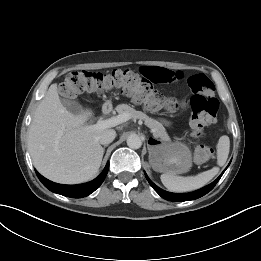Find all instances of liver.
Segmentation results:
<instances>
[{"mask_svg":"<svg viewBox=\"0 0 261 261\" xmlns=\"http://www.w3.org/2000/svg\"><path fill=\"white\" fill-rule=\"evenodd\" d=\"M92 116L91 110L78 115L67 111L57 84L49 87L28 130L33 164L44 177L62 184H78L97 175L104 154L99 136L106 129L90 128L86 123Z\"/></svg>","mask_w":261,"mask_h":261,"instance_id":"6515ba94","label":"liver"}]
</instances>
